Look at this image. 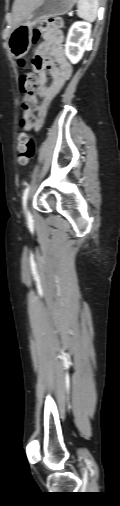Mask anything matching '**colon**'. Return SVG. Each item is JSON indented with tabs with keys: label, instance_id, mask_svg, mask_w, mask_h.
<instances>
[{
	"label": "colon",
	"instance_id": "5ec220e1",
	"mask_svg": "<svg viewBox=\"0 0 120 506\" xmlns=\"http://www.w3.org/2000/svg\"><path fill=\"white\" fill-rule=\"evenodd\" d=\"M64 27V21L60 17H51L40 21L33 31V41L36 43L42 34H46L52 30H60ZM35 61H32L34 64ZM18 64L21 68L30 66V62L26 58H20ZM38 78L35 74L27 72L20 77V87L24 93L22 102V118L21 130L16 139L17 161L24 165L33 157L35 151L34 138L30 133L31 127L35 124L34 109L37 105L36 87Z\"/></svg>",
	"mask_w": 120,
	"mask_h": 506
}]
</instances>
